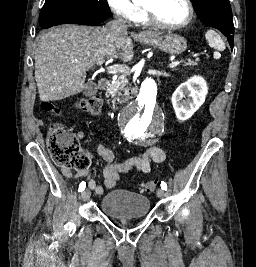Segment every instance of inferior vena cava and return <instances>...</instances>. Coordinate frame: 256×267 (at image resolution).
Instances as JSON below:
<instances>
[{"label":"inferior vena cava","instance_id":"obj_1","mask_svg":"<svg viewBox=\"0 0 256 267\" xmlns=\"http://www.w3.org/2000/svg\"><path fill=\"white\" fill-rule=\"evenodd\" d=\"M107 28H112L115 32H127V24L124 18H118V20H112L108 22Z\"/></svg>","mask_w":256,"mask_h":267}]
</instances>
